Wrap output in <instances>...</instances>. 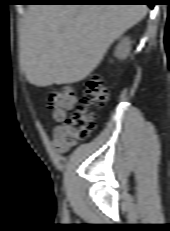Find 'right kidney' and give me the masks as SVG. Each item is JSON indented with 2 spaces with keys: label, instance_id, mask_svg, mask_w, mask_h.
I'll use <instances>...</instances> for the list:
<instances>
[{
  "label": "right kidney",
  "instance_id": "1",
  "mask_svg": "<svg viewBox=\"0 0 170 231\" xmlns=\"http://www.w3.org/2000/svg\"><path fill=\"white\" fill-rule=\"evenodd\" d=\"M131 50V41L128 37L123 38L115 50V55L120 59H125Z\"/></svg>",
  "mask_w": 170,
  "mask_h": 231
}]
</instances>
